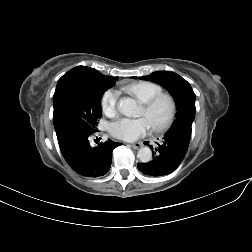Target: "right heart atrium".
<instances>
[{
  "instance_id": "d8ad5b80",
  "label": "right heart atrium",
  "mask_w": 252,
  "mask_h": 252,
  "mask_svg": "<svg viewBox=\"0 0 252 252\" xmlns=\"http://www.w3.org/2000/svg\"><path fill=\"white\" fill-rule=\"evenodd\" d=\"M119 102V93L116 90L109 89L101 97V107L108 117H114L117 114Z\"/></svg>"
}]
</instances>
